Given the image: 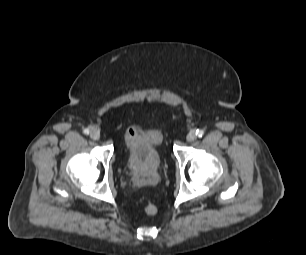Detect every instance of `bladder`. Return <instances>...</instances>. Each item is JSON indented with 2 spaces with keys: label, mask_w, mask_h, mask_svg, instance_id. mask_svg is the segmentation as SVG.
Masks as SVG:
<instances>
[{
  "label": "bladder",
  "mask_w": 306,
  "mask_h": 255,
  "mask_svg": "<svg viewBox=\"0 0 306 255\" xmlns=\"http://www.w3.org/2000/svg\"><path fill=\"white\" fill-rule=\"evenodd\" d=\"M163 133L158 128H141L139 134H126L124 149L128 167L139 173L155 170L162 159Z\"/></svg>",
  "instance_id": "31cf9c89"
}]
</instances>
